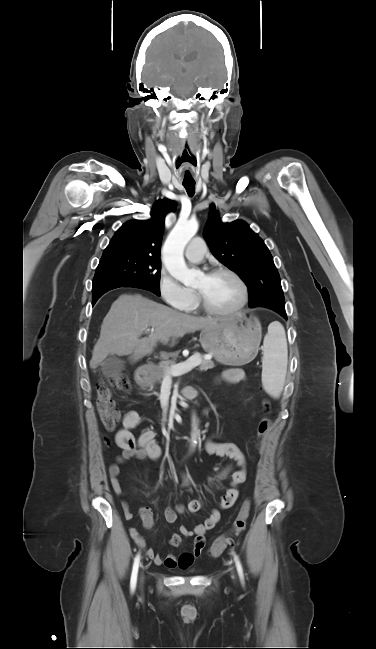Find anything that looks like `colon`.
Instances as JSON below:
<instances>
[{"instance_id": "5ec220e1", "label": "colon", "mask_w": 376, "mask_h": 649, "mask_svg": "<svg viewBox=\"0 0 376 649\" xmlns=\"http://www.w3.org/2000/svg\"><path fill=\"white\" fill-rule=\"evenodd\" d=\"M130 387V380L125 374H118L109 379L103 380L98 386L96 407L101 421L107 430H113L120 419V413L114 405L112 389L128 392ZM263 411L265 414L258 421L256 428L259 440H263L271 429V420L268 417L269 404L266 400L263 401ZM250 506L251 503L249 500L243 502L240 511L233 522L231 535H238L245 529L250 513ZM231 541L232 538L230 536L217 538L210 546V555L213 557L220 556Z\"/></svg>"}]
</instances>
